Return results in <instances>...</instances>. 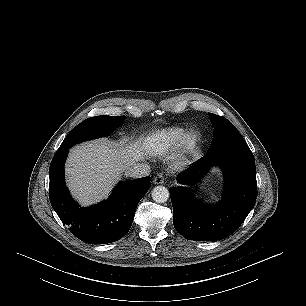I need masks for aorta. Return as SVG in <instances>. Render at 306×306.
Segmentation results:
<instances>
[{
  "instance_id": "aorta-1",
  "label": "aorta",
  "mask_w": 306,
  "mask_h": 306,
  "mask_svg": "<svg viewBox=\"0 0 306 306\" xmlns=\"http://www.w3.org/2000/svg\"><path fill=\"white\" fill-rule=\"evenodd\" d=\"M152 198L157 203H164L169 199V191L164 186H156L152 190Z\"/></svg>"
}]
</instances>
